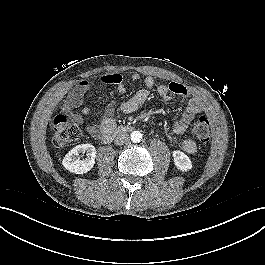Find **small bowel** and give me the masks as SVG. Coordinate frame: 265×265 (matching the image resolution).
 <instances>
[{
	"label": "small bowel",
	"instance_id": "c3829d8e",
	"mask_svg": "<svg viewBox=\"0 0 265 265\" xmlns=\"http://www.w3.org/2000/svg\"><path fill=\"white\" fill-rule=\"evenodd\" d=\"M140 79L141 75L139 73H134L132 75L133 81H139ZM105 81L116 85L117 91L120 94H124L126 92V86L120 74L108 75L105 77ZM154 86V77L150 75L146 76L144 78V88L138 90L129 100L122 103L119 110L123 114H130L137 111L148 100L150 92ZM88 87L89 83L87 80L80 81L77 87L69 92L64 102L65 109L70 113L71 118L78 123L82 122L81 114L88 115L91 113V108L89 106L83 107L81 114L75 112V110L81 106ZM157 93L165 100H171L172 95H177L186 99L185 109L181 118L178 119L172 126L173 134H184L187 131L190 122L196 117V115L202 112V103L197 98H188L189 92L187 88L180 83L172 82L169 84H160L157 86ZM114 126L115 120L113 115L107 112L101 115L98 124L89 126L88 131L92 136L97 137L101 132L112 130ZM180 147L183 151L189 154H193L197 150L196 143L190 138L182 139Z\"/></svg>",
	"mask_w": 265,
	"mask_h": 265
}]
</instances>
